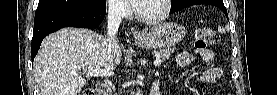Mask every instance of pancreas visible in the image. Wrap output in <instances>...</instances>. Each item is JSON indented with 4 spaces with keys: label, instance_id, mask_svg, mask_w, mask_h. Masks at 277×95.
I'll list each match as a JSON object with an SVG mask.
<instances>
[{
    "label": "pancreas",
    "instance_id": "1",
    "mask_svg": "<svg viewBox=\"0 0 277 95\" xmlns=\"http://www.w3.org/2000/svg\"><path fill=\"white\" fill-rule=\"evenodd\" d=\"M174 50L171 48H167V49H162L159 50L158 52H156V55L158 56L159 59L164 60L170 57V54L173 52Z\"/></svg>",
    "mask_w": 277,
    "mask_h": 95
}]
</instances>
